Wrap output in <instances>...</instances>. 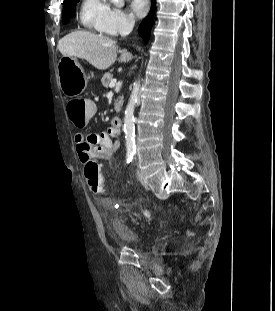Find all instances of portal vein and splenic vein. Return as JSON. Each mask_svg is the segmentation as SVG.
Here are the masks:
<instances>
[{"instance_id":"portal-vein-and-splenic-vein-1","label":"portal vein and splenic vein","mask_w":275,"mask_h":311,"mask_svg":"<svg viewBox=\"0 0 275 311\" xmlns=\"http://www.w3.org/2000/svg\"><path fill=\"white\" fill-rule=\"evenodd\" d=\"M116 82H117V80H116V79H112V80H111V82H110V84H109V87H110V88L115 87Z\"/></svg>"}]
</instances>
